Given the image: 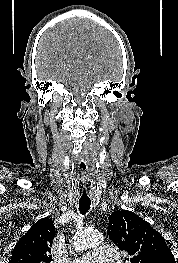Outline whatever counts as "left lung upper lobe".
Listing matches in <instances>:
<instances>
[{
    "label": "left lung upper lobe",
    "instance_id": "1",
    "mask_svg": "<svg viewBox=\"0 0 178 263\" xmlns=\"http://www.w3.org/2000/svg\"><path fill=\"white\" fill-rule=\"evenodd\" d=\"M109 238L131 256V263H176L165 239L148 222L128 210L109 217Z\"/></svg>",
    "mask_w": 178,
    "mask_h": 263
}]
</instances>
